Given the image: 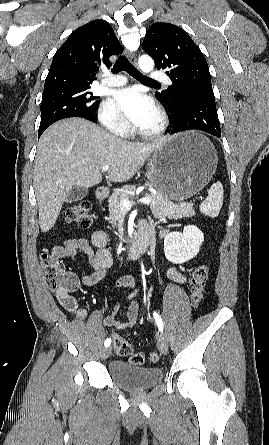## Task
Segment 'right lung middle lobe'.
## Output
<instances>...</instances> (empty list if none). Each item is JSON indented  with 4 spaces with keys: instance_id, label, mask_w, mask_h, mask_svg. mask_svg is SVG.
I'll return each instance as SVG.
<instances>
[{
    "instance_id": "dd1d6c3e",
    "label": "right lung middle lobe",
    "mask_w": 269,
    "mask_h": 445,
    "mask_svg": "<svg viewBox=\"0 0 269 445\" xmlns=\"http://www.w3.org/2000/svg\"><path fill=\"white\" fill-rule=\"evenodd\" d=\"M90 88L91 86H75L43 91L38 136L54 122L67 117H83L96 122L98 97L93 96Z\"/></svg>"
}]
</instances>
